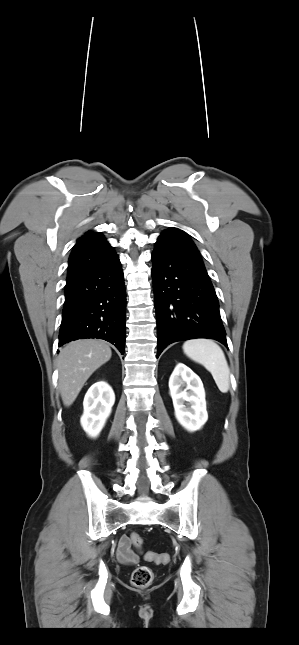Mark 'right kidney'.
<instances>
[{
    "mask_svg": "<svg viewBox=\"0 0 299 645\" xmlns=\"http://www.w3.org/2000/svg\"><path fill=\"white\" fill-rule=\"evenodd\" d=\"M115 402L112 388L104 381L94 383L87 391L81 425L90 437H97L105 425Z\"/></svg>",
    "mask_w": 299,
    "mask_h": 645,
    "instance_id": "1",
    "label": "right kidney"
}]
</instances>
